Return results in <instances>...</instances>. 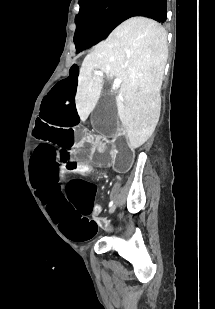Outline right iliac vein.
Segmentation results:
<instances>
[{
  "label": "right iliac vein",
  "instance_id": "1",
  "mask_svg": "<svg viewBox=\"0 0 215 309\" xmlns=\"http://www.w3.org/2000/svg\"><path fill=\"white\" fill-rule=\"evenodd\" d=\"M116 209V204H113L111 207H110V210H109V213H113Z\"/></svg>",
  "mask_w": 215,
  "mask_h": 309
}]
</instances>
